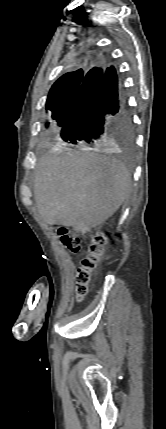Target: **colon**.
Segmentation results:
<instances>
[{"mask_svg": "<svg viewBox=\"0 0 166 429\" xmlns=\"http://www.w3.org/2000/svg\"><path fill=\"white\" fill-rule=\"evenodd\" d=\"M62 244L72 253L80 250L81 240L77 233L68 228L61 227L58 231ZM107 251V238L104 234L98 233L92 240L88 254L83 258L76 276V295L80 301L87 294L91 272L96 268L99 261Z\"/></svg>", "mask_w": 166, "mask_h": 429, "instance_id": "1", "label": "colon"}]
</instances>
